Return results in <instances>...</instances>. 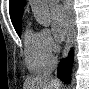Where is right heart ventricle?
<instances>
[{
  "instance_id": "1",
  "label": "right heart ventricle",
  "mask_w": 89,
  "mask_h": 89,
  "mask_svg": "<svg viewBox=\"0 0 89 89\" xmlns=\"http://www.w3.org/2000/svg\"><path fill=\"white\" fill-rule=\"evenodd\" d=\"M25 63L29 71L35 74L49 73L54 67L52 56L46 55L41 48L39 32L27 29L25 32Z\"/></svg>"
}]
</instances>
